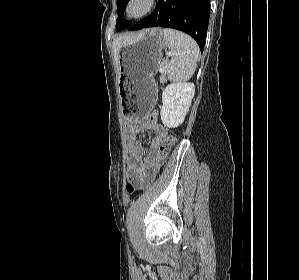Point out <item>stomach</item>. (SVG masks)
<instances>
[{
  "label": "stomach",
  "instance_id": "obj_1",
  "mask_svg": "<svg viewBox=\"0 0 299 280\" xmlns=\"http://www.w3.org/2000/svg\"><path fill=\"white\" fill-rule=\"evenodd\" d=\"M166 42L159 28L146 29L124 44L119 52V94L125 116L145 117L152 109L157 73Z\"/></svg>",
  "mask_w": 299,
  "mask_h": 280
}]
</instances>
